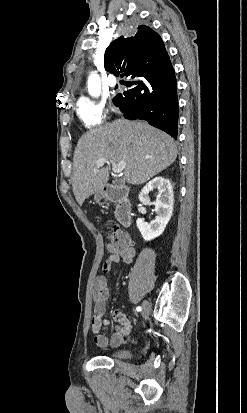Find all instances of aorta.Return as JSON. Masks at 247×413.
<instances>
[{
  "label": "aorta",
  "mask_w": 247,
  "mask_h": 413,
  "mask_svg": "<svg viewBox=\"0 0 247 413\" xmlns=\"http://www.w3.org/2000/svg\"><path fill=\"white\" fill-rule=\"evenodd\" d=\"M88 91L91 96L97 97L100 95L101 82L97 74H92L88 80Z\"/></svg>",
  "instance_id": "762f6f07"
}]
</instances>
